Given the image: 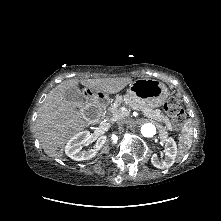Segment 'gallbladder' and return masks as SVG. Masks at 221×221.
Instances as JSON below:
<instances>
[{"label":"gallbladder","mask_w":221,"mask_h":221,"mask_svg":"<svg viewBox=\"0 0 221 221\" xmlns=\"http://www.w3.org/2000/svg\"><path fill=\"white\" fill-rule=\"evenodd\" d=\"M65 99L76 106L82 105L84 103V96L80 89L77 87L68 88L65 93Z\"/></svg>","instance_id":"gallbladder-1"}]
</instances>
